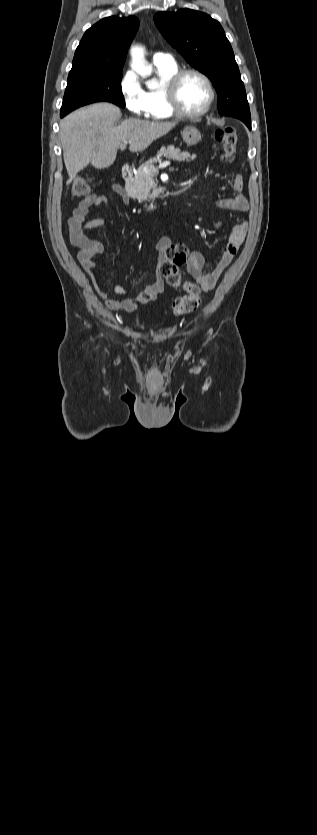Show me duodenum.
Returning <instances> with one entry per match:
<instances>
[{"mask_svg": "<svg viewBox=\"0 0 317 835\" xmlns=\"http://www.w3.org/2000/svg\"><path fill=\"white\" fill-rule=\"evenodd\" d=\"M133 169L130 164H125L122 168L121 175L124 181H129L132 177ZM143 208L147 211H156L158 209V204L156 203H146L143 205Z\"/></svg>", "mask_w": 317, "mask_h": 835, "instance_id": "obj_1", "label": "duodenum"}]
</instances>
